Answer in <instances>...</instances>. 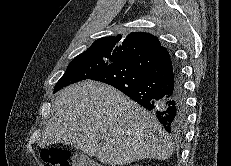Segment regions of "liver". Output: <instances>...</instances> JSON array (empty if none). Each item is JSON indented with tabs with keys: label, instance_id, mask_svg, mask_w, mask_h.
<instances>
[{
	"label": "liver",
	"instance_id": "liver-1",
	"mask_svg": "<svg viewBox=\"0 0 231 166\" xmlns=\"http://www.w3.org/2000/svg\"><path fill=\"white\" fill-rule=\"evenodd\" d=\"M57 142L110 166L166 160L174 150L154 115L117 89L91 80L64 88L55 99L38 145Z\"/></svg>",
	"mask_w": 231,
	"mask_h": 166
}]
</instances>
